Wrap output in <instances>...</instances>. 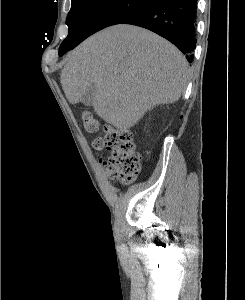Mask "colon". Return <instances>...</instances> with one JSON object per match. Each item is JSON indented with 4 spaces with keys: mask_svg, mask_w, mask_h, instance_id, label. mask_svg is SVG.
Instances as JSON below:
<instances>
[{
    "mask_svg": "<svg viewBox=\"0 0 245 300\" xmlns=\"http://www.w3.org/2000/svg\"><path fill=\"white\" fill-rule=\"evenodd\" d=\"M84 126L89 133H95L99 124L90 114L84 115ZM94 149L107 148L111 154L105 166L111 178L123 184L132 183L140 172V155L136 152L133 136L129 131L105 128V135L96 137L92 143Z\"/></svg>",
    "mask_w": 245,
    "mask_h": 300,
    "instance_id": "1",
    "label": "colon"
}]
</instances>
